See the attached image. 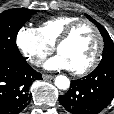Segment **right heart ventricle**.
<instances>
[{
  "label": "right heart ventricle",
  "instance_id": "e07e8e85",
  "mask_svg": "<svg viewBox=\"0 0 114 114\" xmlns=\"http://www.w3.org/2000/svg\"><path fill=\"white\" fill-rule=\"evenodd\" d=\"M78 19L77 16L60 15L43 21L36 29L47 43L55 45L66 27Z\"/></svg>",
  "mask_w": 114,
  "mask_h": 114
}]
</instances>
